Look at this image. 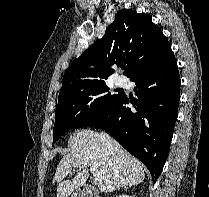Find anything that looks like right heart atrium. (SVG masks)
Masks as SVG:
<instances>
[{"mask_svg":"<svg viewBox=\"0 0 209 197\" xmlns=\"http://www.w3.org/2000/svg\"><path fill=\"white\" fill-rule=\"evenodd\" d=\"M86 108H87V110H90L91 109V103H88Z\"/></svg>","mask_w":209,"mask_h":197,"instance_id":"obj_1","label":"right heart atrium"}]
</instances>
